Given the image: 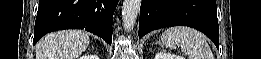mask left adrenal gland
<instances>
[{
  "instance_id": "a2214340",
  "label": "left adrenal gland",
  "mask_w": 261,
  "mask_h": 59,
  "mask_svg": "<svg viewBox=\"0 0 261 59\" xmlns=\"http://www.w3.org/2000/svg\"><path fill=\"white\" fill-rule=\"evenodd\" d=\"M156 44H159V45H161V42H160V41H158V42H156Z\"/></svg>"
}]
</instances>
